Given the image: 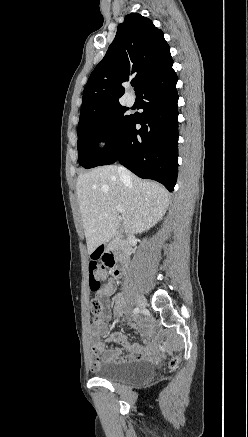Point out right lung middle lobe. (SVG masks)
Here are the masks:
<instances>
[{"label":"right lung middle lobe","mask_w":248,"mask_h":437,"mask_svg":"<svg viewBox=\"0 0 248 437\" xmlns=\"http://www.w3.org/2000/svg\"><path fill=\"white\" fill-rule=\"evenodd\" d=\"M128 109L117 105L104 112L95 114L78 125V159L84 168H91L117 143L132 115ZM107 140L104 149L97 147V141Z\"/></svg>","instance_id":"right-lung-middle-lobe-1"}]
</instances>
